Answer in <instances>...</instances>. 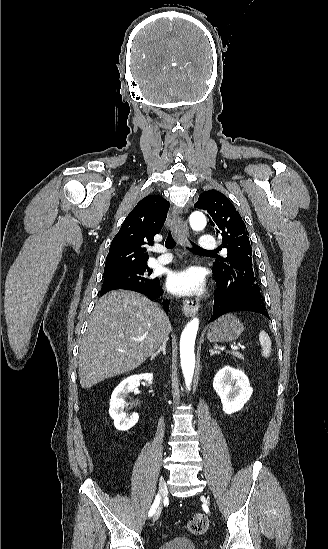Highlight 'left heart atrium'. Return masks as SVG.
<instances>
[{"mask_svg":"<svg viewBox=\"0 0 328 549\" xmlns=\"http://www.w3.org/2000/svg\"><path fill=\"white\" fill-rule=\"evenodd\" d=\"M204 274L200 268L190 267L181 272L170 274L167 280L168 289L177 295L196 294L203 290Z\"/></svg>","mask_w":328,"mask_h":549,"instance_id":"39dd6f15","label":"left heart atrium"}]
</instances>
